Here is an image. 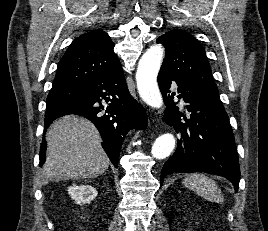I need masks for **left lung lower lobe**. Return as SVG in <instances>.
<instances>
[{
  "instance_id": "left-lung-lower-lobe-1",
  "label": "left lung lower lobe",
  "mask_w": 268,
  "mask_h": 231,
  "mask_svg": "<svg viewBox=\"0 0 268 231\" xmlns=\"http://www.w3.org/2000/svg\"><path fill=\"white\" fill-rule=\"evenodd\" d=\"M172 81L178 85V93H181L178 97L186 103V110L190 113L187 117L175 106V93L170 94ZM158 84L167 105L164 121L179 134L177 149L163 166L160 185L165 176L173 172H206L227 178L237 192L239 161L224 107L168 71L160 69Z\"/></svg>"
}]
</instances>
